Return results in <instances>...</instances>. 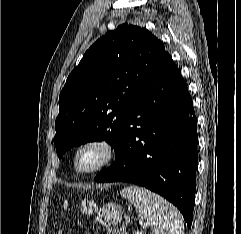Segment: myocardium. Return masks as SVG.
<instances>
[{
  "instance_id": "f54148a6",
  "label": "myocardium",
  "mask_w": 241,
  "mask_h": 234,
  "mask_svg": "<svg viewBox=\"0 0 241 234\" xmlns=\"http://www.w3.org/2000/svg\"><path fill=\"white\" fill-rule=\"evenodd\" d=\"M88 148H96L100 151L101 157L90 168H80L78 165L79 155ZM116 157V148L114 144L105 137H92L81 142L73 154V167L74 170L81 175L93 174L104 167L108 166Z\"/></svg>"
}]
</instances>
